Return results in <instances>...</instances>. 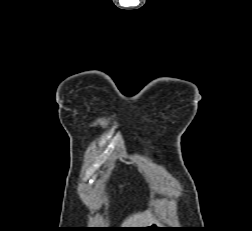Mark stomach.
Here are the masks:
<instances>
[{
    "label": "stomach",
    "mask_w": 252,
    "mask_h": 231,
    "mask_svg": "<svg viewBox=\"0 0 252 231\" xmlns=\"http://www.w3.org/2000/svg\"><path fill=\"white\" fill-rule=\"evenodd\" d=\"M143 228L145 229H142V230H145V231H156V230H163L160 228H167V227L163 226V224L160 221L154 220L150 225Z\"/></svg>",
    "instance_id": "0dacf381"
}]
</instances>
